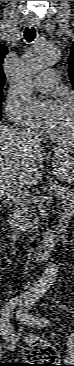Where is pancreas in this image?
Masks as SVG:
<instances>
[{"label":"pancreas","instance_id":"1","mask_svg":"<svg viewBox=\"0 0 74 366\" xmlns=\"http://www.w3.org/2000/svg\"><path fill=\"white\" fill-rule=\"evenodd\" d=\"M49 189L55 191V195L58 196L63 201V203L69 202L67 205H70V202H72L74 199V191L68 186L50 184ZM15 201L18 203V205H21L23 207L24 211L26 209V205H29L31 203L29 199H20ZM26 227H32V225L28 224L26 225Z\"/></svg>","mask_w":74,"mask_h":366}]
</instances>
